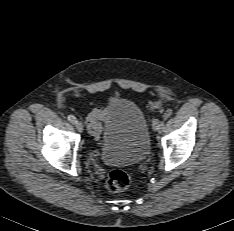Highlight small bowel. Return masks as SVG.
I'll use <instances>...</instances> for the list:
<instances>
[{"label":"small bowel","instance_id":"obj_1","mask_svg":"<svg viewBox=\"0 0 234 231\" xmlns=\"http://www.w3.org/2000/svg\"><path fill=\"white\" fill-rule=\"evenodd\" d=\"M117 100L116 95L109 98V105L111 106ZM108 109L105 107H98L91 111L86 118V124L89 133L97 140H100L102 132V122L107 120Z\"/></svg>","mask_w":234,"mask_h":231}]
</instances>
